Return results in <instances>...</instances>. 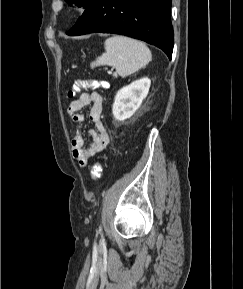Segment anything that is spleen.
Segmentation results:
<instances>
[{
	"label": "spleen",
	"mask_w": 243,
	"mask_h": 289,
	"mask_svg": "<svg viewBox=\"0 0 243 289\" xmlns=\"http://www.w3.org/2000/svg\"><path fill=\"white\" fill-rule=\"evenodd\" d=\"M105 52L90 66L109 65L115 68L114 76L127 77L151 61L150 49L141 41L114 35L104 42Z\"/></svg>",
	"instance_id": "spleen-1"
}]
</instances>
